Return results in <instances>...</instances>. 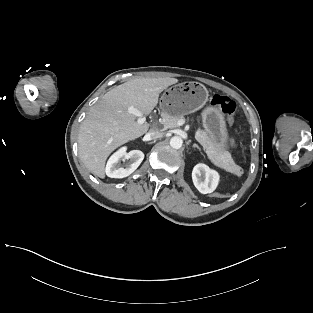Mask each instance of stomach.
<instances>
[{
	"label": "stomach",
	"instance_id": "0dacf381",
	"mask_svg": "<svg viewBox=\"0 0 313 313\" xmlns=\"http://www.w3.org/2000/svg\"><path fill=\"white\" fill-rule=\"evenodd\" d=\"M206 87L198 82H183L168 88L160 99V107L165 114L183 116L205 107L208 101ZM206 134L226 149L228 131L222 112L207 106L202 112Z\"/></svg>",
	"mask_w": 313,
	"mask_h": 313
}]
</instances>
